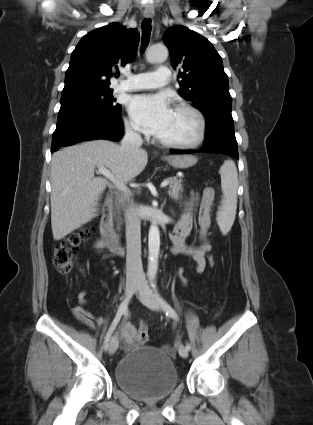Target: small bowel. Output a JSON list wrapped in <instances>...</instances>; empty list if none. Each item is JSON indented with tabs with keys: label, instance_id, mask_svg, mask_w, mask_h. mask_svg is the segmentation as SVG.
Here are the masks:
<instances>
[{
	"label": "small bowel",
	"instance_id": "1",
	"mask_svg": "<svg viewBox=\"0 0 313 425\" xmlns=\"http://www.w3.org/2000/svg\"><path fill=\"white\" fill-rule=\"evenodd\" d=\"M214 200V191L211 188H205L202 192L200 199V210L198 216V226L200 229L201 237H204L207 229L210 226V211ZM197 197L192 195L190 203L187 206L186 211L180 217L177 226L172 235V251L174 254H185L190 257L196 264V271L202 273L206 269L205 254L210 251L211 245L203 240V242L197 246H188L185 243V239L191 233L195 219L192 213V207L196 204ZM87 292L82 290L77 295L78 305L72 308L74 317L84 324L86 327L93 329L95 324H101L105 320L103 317L98 316L86 307ZM138 330L128 322L122 324L120 330V337L124 341L126 347H132L137 342Z\"/></svg>",
	"mask_w": 313,
	"mask_h": 425
}]
</instances>
